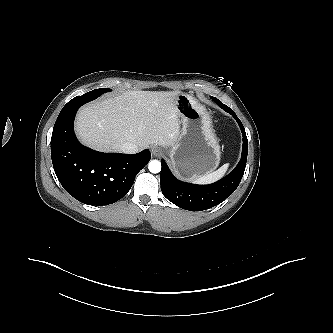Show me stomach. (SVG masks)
Segmentation results:
<instances>
[{"instance_id": "stomach-1", "label": "stomach", "mask_w": 333, "mask_h": 333, "mask_svg": "<svg viewBox=\"0 0 333 333\" xmlns=\"http://www.w3.org/2000/svg\"><path fill=\"white\" fill-rule=\"evenodd\" d=\"M177 108L182 130L170 149L171 165L178 176L193 180L218 167L220 146L204 106L192 96L180 93Z\"/></svg>"}]
</instances>
